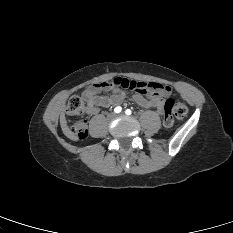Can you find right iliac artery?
<instances>
[{
  "mask_svg": "<svg viewBox=\"0 0 233 233\" xmlns=\"http://www.w3.org/2000/svg\"><path fill=\"white\" fill-rule=\"evenodd\" d=\"M122 111V108L120 106H117L115 109H114V112L115 113H120Z\"/></svg>",
  "mask_w": 233,
  "mask_h": 233,
  "instance_id": "82829eb1",
  "label": "right iliac artery"
}]
</instances>
